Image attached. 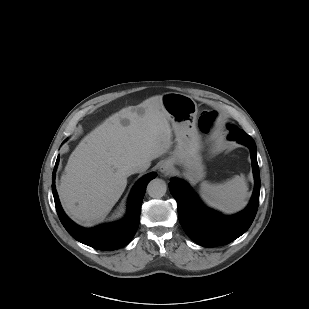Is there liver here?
Returning <instances> with one entry per match:
<instances>
[{
    "mask_svg": "<svg viewBox=\"0 0 309 309\" xmlns=\"http://www.w3.org/2000/svg\"><path fill=\"white\" fill-rule=\"evenodd\" d=\"M172 146V129L153 96L121 109L86 135L69 157L58 194L65 212L77 223L101 222L121 197L128 170L148 167Z\"/></svg>",
    "mask_w": 309,
    "mask_h": 309,
    "instance_id": "obj_1",
    "label": "liver"
}]
</instances>
